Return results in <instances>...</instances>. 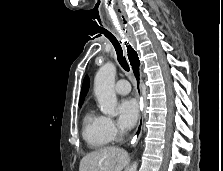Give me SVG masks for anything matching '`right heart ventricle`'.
Segmentation results:
<instances>
[{
  "mask_svg": "<svg viewBox=\"0 0 223 171\" xmlns=\"http://www.w3.org/2000/svg\"><path fill=\"white\" fill-rule=\"evenodd\" d=\"M82 134L86 143L93 149L103 148L112 140L105 129L104 116L92 109L84 115Z\"/></svg>",
  "mask_w": 223,
  "mask_h": 171,
  "instance_id": "right-heart-ventricle-1",
  "label": "right heart ventricle"
}]
</instances>
